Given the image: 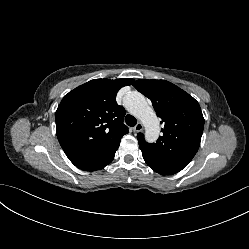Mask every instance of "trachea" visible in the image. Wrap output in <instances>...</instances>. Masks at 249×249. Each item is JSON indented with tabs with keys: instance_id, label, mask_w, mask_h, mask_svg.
Segmentation results:
<instances>
[{
	"instance_id": "trachea-1",
	"label": "trachea",
	"mask_w": 249,
	"mask_h": 249,
	"mask_svg": "<svg viewBox=\"0 0 249 249\" xmlns=\"http://www.w3.org/2000/svg\"><path fill=\"white\" fill-rule=\"evenodd\" d=\"M125 122H126V124H127L128 126L133 127V126L136 125L137 120H136V118L133 117L132 115L127 114L126 117H125Z\"/></svg>"
}]
</instances>
